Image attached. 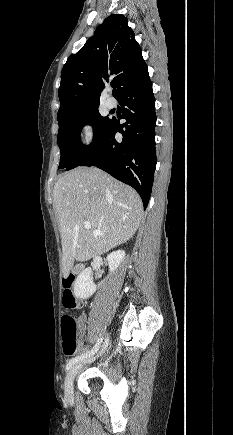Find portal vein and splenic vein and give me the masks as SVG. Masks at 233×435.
I'll use <instances>...</instances> for the list:
<instances>
[{
  "label": "portal vein and splenic vein",
  "mask_w": 233,
  "mask_h": 435,
  "mask_svg": "<svg viewBox=\"0 0 233 435\" xmlns=\"http://www.w3.org/2000/svg\"><path fill=\"white\" fill-rule=\"evenodd\" d=\"M84 227H85L86 229L91 228L90 222H89V221L84 222ZM93 233H94L95 235H101V236L104 235V233H102L101 231H98V230L93 231Z\"/></svg>",
  "instance_id": "1"
}]
</instances>
